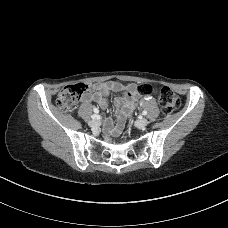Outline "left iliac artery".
<instances>
[{"mask_svg":"<svg viewBox=\"0 0 228 228\" xmlns=\"http://www.w3.org/2000/svg\"><path fill=\"white\" fill-rule=\"evenodd\" d=\"M142 114H143L144 116L147 115V111L144 110V111L142 112Z\"/></svg>","mask_w":228,"mask_h":228,"instance_id":"left-iliac-artery-1","label":"left iliac artery"}]
</instances>
